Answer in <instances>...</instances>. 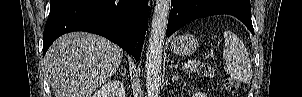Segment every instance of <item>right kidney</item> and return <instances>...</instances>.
Segmentation results:
<instances>
[{"label":"right kidney","mask_w":302,"mask_h":97,"mask_svg":"<svg viewBox=\"0 0 302 97\" xmlns=\"http://www.w3.org/2000/svg\"><path fill=\"white\" fill-rule=\"evenodd\" d=\"M111 92H115L119 97H125V88L119 80L110 81L96 91L92 97H108Z\"/></svg>","instance_id":"obj_1"}]
</instances>
